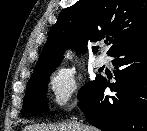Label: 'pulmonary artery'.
Wrapping results in <instances>:
<instances>
[{"label": "pulmonary artery", "mask_w": 147, "mask_h": 131, "mask_svg": "<svg viewBox=\"0 0 147 131\" xmlns=\"http://www.w3.org/2000/svg\"><path fill=\"white\" fill-rule=\"evenodd\" d=\"M107 62H108V58L103 54L97 56L95 59L96 67H103L104 65L107 64Z\"/></svg>", "instance_id": "1"}]
</instances>
